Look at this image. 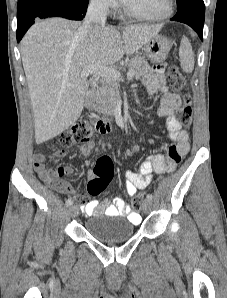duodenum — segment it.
Wrapping results in <instances>:
<instances>
[{
  "label": "duodenum",
  "instance_id": "duodenum-1",
  "mask_svg": "<svg viewBox=\"0 0 227 298\" xmlns=\"http://www.w3.org/2000/svg\"><path fill=\"white\" fill-rule=\"evenodd\" d=\"M97 102V91L91 89L85 98V105L88 109H93ZM96 130L102 134L108 133L111 130L110 122L107 120H96L94 121Z\"/></svg>",
  "mask_w": 227,
  "mask_h": 298
}]
</instances>
